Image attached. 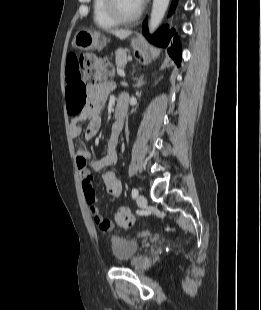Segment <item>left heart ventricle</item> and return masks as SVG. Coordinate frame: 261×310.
I'll use <instances>...</instances> for the list:
<instances>
[{"label": "left heart ventricle", "mask_w": 261, "mask_h": 310, "mask_svg": "<svg viewBox=\"0 0 261 310\" xmlns=\"http://www.w3.org/2000/svg\"><path fill=\"white\" fill-rule=\"evenodd\" d=\"M119 11L125 16L135 14L140 6L136 0H116Z\"/></svg>", "instance_id": "obj_1"}]
</instances>
